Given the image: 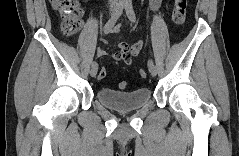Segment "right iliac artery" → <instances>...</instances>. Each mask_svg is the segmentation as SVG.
I'll return each instance as SVG.
<instances>
[{"mask_svg": "<svg viewBox=\"0 0 239 156\" xmlns=\"http://www.w3.org/2000/svg\"><path fill=\"white\" fill-rule=\"evenodd\" d=\"M125 8V4L120 2L117 4L114 13L112 14L111 18L107 21V23L104 26V33L108 34L109 32H111L112 28L114 27L115 23L117 22L118 18L120 17V15L123 12V9ZM97 65L96 61L92 62V66Z\"/></svg>", "mask_w": 239, "mask_h": 156, "instance_id": "obj_1", "label": "right iliac artery"}]
</instances>
